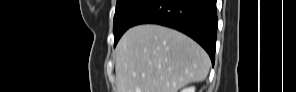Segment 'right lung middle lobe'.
<instances>
[{"mask_svg":"<svg viewBox=\"0 0 296 92\" xmlns=\"http://www.w3.org/2000/svg\"><path fill=\"white\" fill-rule=\"evenodd\" d=\"M154 0H117L114 15V46L117 44L123 33L133 25L134 20L153 2Z\"/></svg>","mask_w":296,"mask_h":92,"instance_id":"1","label":"right lung middle lobe"}]
</instances>
